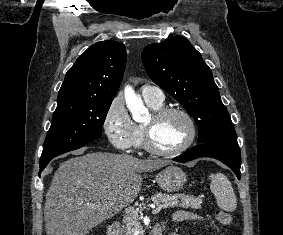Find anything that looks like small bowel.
Returning a JSON list of instances; mask_svg holds the SVG:
<instances>
[{
    "label": "small bowel",
    "mask_w": 283,
    "mask_h": 235,
    "mask_svg": "<svg viewBox=\"0 0 283 235\" xmlns=\"http://www.w3.org/2000/svg\"><path fill=\"white\" fill-rule=\"evenodd\" d=\"M194 219H198V217L187 211L177 212L173 218L175 222H183V221L194 220Z\"/></svg>",
    "instance_id": "small-bowel-1"
}]
</instances>
